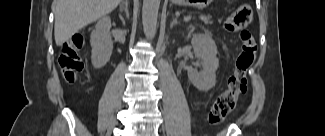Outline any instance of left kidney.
Masks as SVG:
<instances>
[{
	"instance_id": "5707ae66",
	"label": "left kidney",
	"mask_w": 325,
	"mask_h": 136,
	"mask_svg": "<svg viewBox=\"0 0 325 136\" xmlns=\"http://www.w3.org/2000/svg\"><path fill=\"white\" fill-rule=\"evenodd\" d=\"M191 44L195 56L201 60V71L193 67L187 69L188 78L199 91L210 90L216 82V70L219 67L217 47L214 40L206 33L194 34Z\"/></svg>"
}]
</instances>
